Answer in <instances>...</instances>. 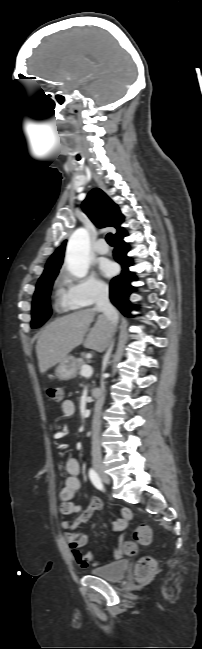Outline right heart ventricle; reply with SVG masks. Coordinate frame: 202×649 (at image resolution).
<instances>
[{"mask_svg":"<svg viewBox=\"0 0 202 649\" xmlns=\"http://www.w3.org/2000/svg\"><path fill=\"white\" fill-rule=\"evenodd\" d=\"M60 285H61V279H60V280L58 281V283H57V288H58L59 296H60V294H61Z\"/></svg>","mask_w":202,"mask_h":649,"instance_id":"1","label":"right heart ventricle"}]
</instances>
